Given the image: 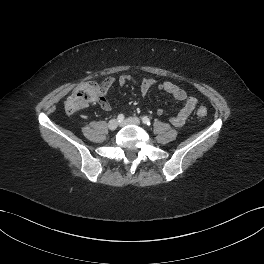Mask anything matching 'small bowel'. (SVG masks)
<instances>
[{"label": "small bowel", "instance_id": "1", "mask_svg": "<svg viewBox=\"0 0 264 264\" xmlns=\"http://www.w3.org/2000/svg\"><path fill=\"white\" fill-rule=\"evenodd\" d=\"M115 83L122 87L128 84H135L138 86L139 92L142 95H146L152 88H156L159 91L169 93L176 100L182 102V108L180 111L170 118V122L177 127L182 126L186 122L197 106V100L194 97L189 96L185 90L173 82H158L153 78H137L131 75H122L118 79L109 77L99 86V94L96 101L104 111L111 110V105L105 95ZM156 113L161 116L164 114V110L158 108Z\"/></svg>", "mask_w": 264, "mask_h": 264}]
</instances>
